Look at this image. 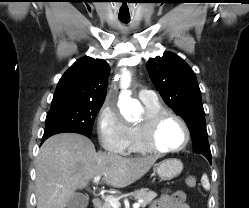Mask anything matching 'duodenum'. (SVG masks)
<instances>
[{
  "instance_id": "duodenum-1",
  "label": "duodenum",
  "mask_w": 249,
  "mask_h": 208,
  "mask_svg": "<svg viewBox=\"0 0 249 208\" xmlns=\"http://www.w3.org/2000/svg\"><path fill=\"white\" fill-rule=\"evenodd\" d=\"M92 205L94 208H100V206L102 205V198L100 195H96L93 197Z\"/></svg>"
}]
</instances>
